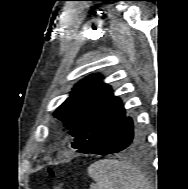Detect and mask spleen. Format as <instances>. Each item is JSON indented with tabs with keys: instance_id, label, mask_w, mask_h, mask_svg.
Wrapping results in <instances>:
<instances>
[{
	"instance_id": "obj_1",
	"label": "spleen",
	"mask_w": 188,
	"mask_h": 189,
	"mask_svg": "<svg viewBox=\"0 0 188 189\" xmlns=\"http://www.w3.org/2000/svg\"><path fill=\"white\" fill-rule=\"evenodd\" d=\"M95 183L90 189H146L142 174L130 164L118 160H99L88 167Z\"/></svg>"
}]
</instances>
